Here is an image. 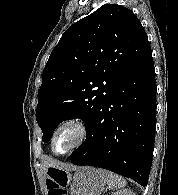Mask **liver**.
Wrapping results in <instances>:
<instances>
[{
	"instance_id": "obj_1",
	"label": "liver",
	"mask_w": 178,
	"mask_h": 195,
	"mask_svg": "<svg viewBox=\"0 0 178 195\" xmlns=\"http://www.w3.org/2000/svg\"><path fill=\"white\" fill-rule=\"evenodd\" d=\"M49 167H55V168H60V169H64V170H70V165H63L61 163H59L56 160H53L51 158H46L44 161V170H47Z\"/></svg>"
}]
</instances>
